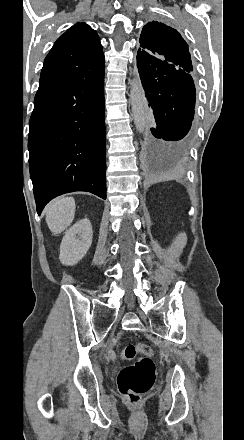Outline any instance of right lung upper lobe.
I'll return each mask as SVG.
<instances>
[{"mask_svg":"<svg viewBox=\"0 0 244 440\" xmlns=\"http://www.w3.org/2000/svg\"><path fill=\"white\" fill-rule=\"evenodd\" d=\"M104 63L97 33L78 23L60 36L44 61L40 80L80 69H92Z\"/></svg>","mask_w":244,"mask_h":440,"instance_id":"right-lung-upper-lobe-1","label":"right lung upper lobe"}]
</instances>
